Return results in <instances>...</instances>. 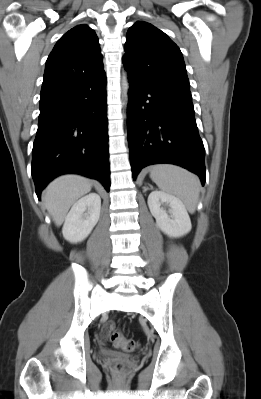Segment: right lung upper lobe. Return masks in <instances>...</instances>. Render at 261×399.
<instances>
[{
	"label": "right lung upper lobe",
	"instance_id": "cb5924a9",
	"mask_svg": "<svg viewBox=\"0 0 261 399\" xmlns=\"http://www.w3.org/2000/svg\"><path fill=\"white\" fill-rule=\"evenodd\" d=\"M105 74L98 37L82 24L65 33L50 53L40 97H46Z\"/></svg>",
	"mask_w": 261,
	"mask_h": 399
}]
</instances>
